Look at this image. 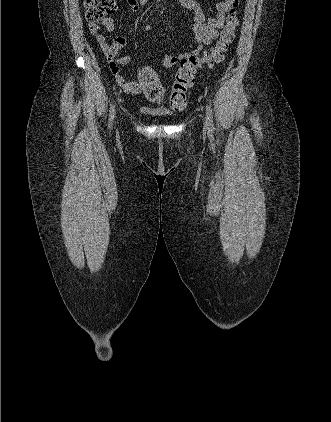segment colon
I'll return each mask as SVG.
<instances>
[{"label":"colon","instance_id":"colon-1","mask_svg":"<svg viewBox=\"0 0 331 422\" xmlns=\"http://www.w3.org/2000/svg\"><path fill=\"white\" fill-rule=\"evenodd\" d=\"M86 9V19L90 23L101 21L106 15L116 9V0H83ZM238 0L235 1L226 24L222 29L216 44L203 57H190L179 64L170 95V106L176 111L183 110L187 105L186 94L193 86L195 78L203 65L212 67L223 61L226 52L235 39V31L239 25L236 12ZM138 81L143 88L144 96L150 101H160L165 89L157 75L150 67H142L138 71Z\"/></svg>","mask_w":331,"mask_h":422}]
</instances>
